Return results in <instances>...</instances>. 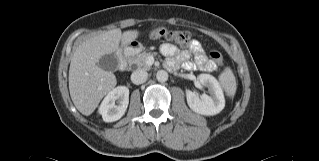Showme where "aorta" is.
Returning a JSON list of instances; mask_svg holds the SVG:
<instances>
[{"mask_svg":"<svg viewBox=\"0 0 319 161\" xmlns=\"http://www.w3.org/2000/svg\"><path fill=\"white\" fill-rule=\"evenodd\" d=\"M156 79L159 82H166L168 80V73L165 70H159L156 74Z\"/></svg>","mask_w":319,"mask_h":161,"instance_id":"obj_1","label":"aorta"}]
</instances>
